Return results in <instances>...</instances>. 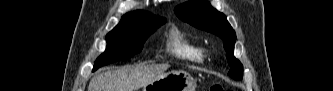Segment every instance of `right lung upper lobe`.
Here are the masks:
<instances>
[{"mask_svg":"<svg viewBox=\"0 0 333 91\" xmlns=\"http://www.w3.org/2000/svg\"><path fill=\"white\" fill-rule=\"evenodd\" d=\"M154 19H164L162 17H158L155 16L151 13L142 11V10H137L134 12H129L127 14H125L120 23L118 25L124 24V23H128V22H134V21H150V20H154Z\"/></svg>","mask_w":333,"mask_h":91,"instance_id":"cb5924a9","label":"right lung upper lobe"}]
</instances>
